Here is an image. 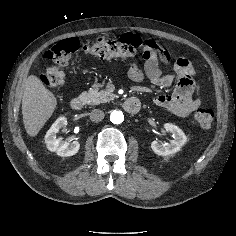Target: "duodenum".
Returning <instances> with one entry per match:
<instances>
[{
  "instance_id": "obj_1",
  "label": "duodenum",
  "mask_w": 236,
  "mask_h": 236,
  "mask_svg": "<svg viewBox=\"0 0 236 236\" xmlns=\"http://www.w3.org/2000/svg\"><path fill=\"white\" fill-rule=\"evenodd\" d=\"M84 106L83 99L80 97H74L70 101V107L72 110L80 111ZM141 103L136 97H129L123 103V108L128 113H137L140 110Z\"/></svg>"
}]
</instances>
